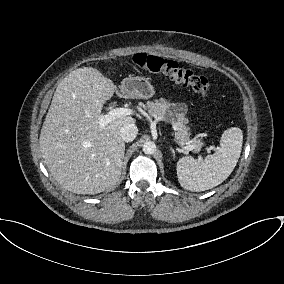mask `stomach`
<instances>
[{"instance_id": "1", "label": "stomach", "mask_w": 284, "mask_h": 284, "mask_svg": "<svg viewBox=\"0 0 284 284\" xmlns=\"http://www.w3.org/2000/svg\"><path fill=\"white\" fill-rule=\"evenodd\" d=\"M119 88L123 95L129 98L148 99L155 94L148 79L140 76L125 78Z\"/></svg>"}]
</instances>
